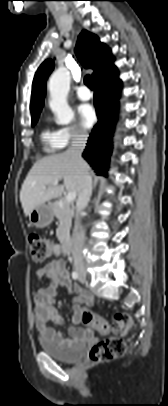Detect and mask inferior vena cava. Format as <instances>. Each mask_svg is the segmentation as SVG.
<instances>
[{"label": "inferior vena cava", "mask_w": 168, "mask_h": 406, "mask_svg": "<svg viewBox=\"0 0 168 406\" xmlns=\"http://www.w3.org/2000/svg\"><path fill=\"white\" fill-rule=\"evenodd\" d=\"M88 135L79 133L74 136L71 146L67 150L77 163L82 166L81 171V190L78 194L75 215V231L73 235L72 256L76 268H84V260L82 256V248L85 240V232L80 225V216L82 211L87 207L92 195V177L88 169L84 166V160L81 157L87 143Z\"/></svg>", "instance_id": "602c4592"}]
</instances>
